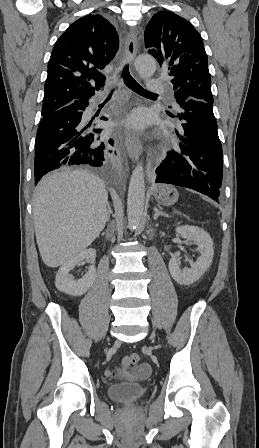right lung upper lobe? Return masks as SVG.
<instances>
[{"label": "right lung upper lobe", "mask_w": 259, "mask_h": 448, "mask_svg": "<svg viewBox=\"0 0 259 448\" xmlns=\"http://www.w3.org/2000/svg\"><path fill=\"white\" fill-rule=\"evenodd\" d=\"M119 48L114 26L101 15L76 20L56 41L48 62L42 115L89 100L105 84L101 70Z\"/></svg>", "instance_id": "right-lung-upper-lobe-1"}]
</instances>
